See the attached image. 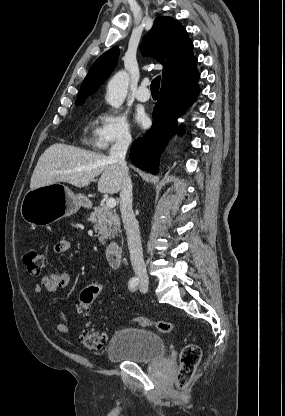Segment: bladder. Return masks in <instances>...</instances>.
I'll list each match as a JSON object with an SVG mask.
<instances>
[{
	"mask_svg": "<svg viewBox=\"0 0 285 416\" xmlns=\"http://www.w3.org/2000/svg\"><path fill=\"white\" fill-rule=\"evenodd\" d=\"M166 355V340L153 330L140 327L118 329L108 346L112 362L151 363Z\"/></svg>",
	"mask_w": 285,
	"mask_h": 416,
	"instance_id": "1",
	"label": "bladder"
}]
</instances>
